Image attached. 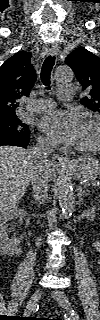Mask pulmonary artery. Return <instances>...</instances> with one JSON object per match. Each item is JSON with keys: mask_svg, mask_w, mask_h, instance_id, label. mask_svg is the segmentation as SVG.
Masks as SVG:
<instances>
[{"mask_svg": "<svg viewBox=\"0 0 100 320\" xmlns=\"http://www.w3.org/2000/svg\"><path fill=\"white\" fill-rule=\"evenodd\" d=\"M73 94V85H61L58 88V97L61 101H71ZM53 106L54 102L51 99H37L29 102L26 105V109L31 113H38L50 110Z\"/></svg>", "mask_w": 100, "mask_h": 320, "instance_id": "obj_1", "label": "pulmonary artery"}]
</instances>
